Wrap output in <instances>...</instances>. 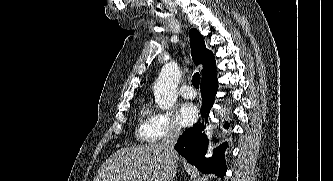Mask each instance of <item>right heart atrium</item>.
Here are the masks:
<instances>
[{"instance_id":"1","label":"right heart atrium","mask_w":333,"mask_h":181,"mask_svg":"<svg viewBox=\"0 0 333 181\" xmlns=\"http://www.w3.org/2000/svg\"><path fill=\"white\" fill-rule=\"evenodd\" d=\"M151 132L154 140L175 137L181 133V127L172 112L159 111L155 113L151 122Z\"/></svg>"}]
</instances>
